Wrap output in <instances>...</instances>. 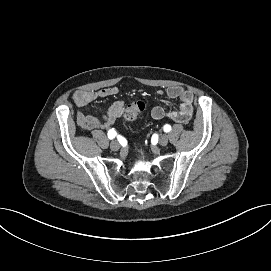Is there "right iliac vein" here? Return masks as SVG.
I'll return each mask as SVG.
<instances>
[{
    "label": "right iliac vein",
    "instance_id": "right-iliac-vein-1",
    "mask_svg": "<svg viewBox=\"0 0 271 271\" xmlns=\"http://www.w3.org/2000/svg\"><path fill=\"white\" fill-rule=\"evenodd\" d=\"M120 145L117 141H112L110 144V148L112 151H117L119 149Z\"/></svg>",
    "mask_w": 271,
    "mask_h": 271
}]
</instances>
